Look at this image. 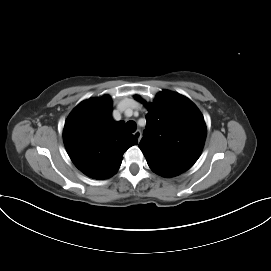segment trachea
<instances>
[{
  "label": "trachea",
  "mask_w": 271,
  "mask_h": 271,
  "mask_svg": "<svg viewBox=\"0 0 271 271\" xmlns=\"http://www.w3.org/2000/svg\"><path fill=\"white\" fill-rule=\"evenodd\" d=\"M126 129L128 132L133 133L136 130V123L134 121H128L126 123Z\"/></svg>",
  "instance_id": "1"
}]
</instances>
